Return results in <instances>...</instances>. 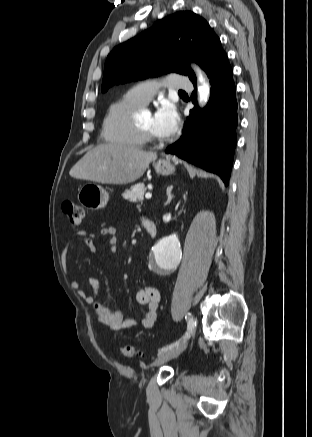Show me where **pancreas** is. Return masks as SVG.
<instances>
[{
  "label": "pancreas",
  "mask_w": 312,
  "mask_h": 437,
  "mask_svg": "<svg viewBox=\"0 0 312 437\" xmlns=\"http://www.w3.org/2000/svg\"><path fill=\"white\" fill-rule=\"evenodd\" d=\"M147 186L144 183L135 184L130 190L124 192L123 197L130 202H142Z\"/></svg>",
  "instance_id": "1"
}]
</instances>
